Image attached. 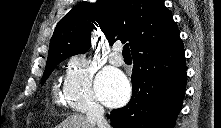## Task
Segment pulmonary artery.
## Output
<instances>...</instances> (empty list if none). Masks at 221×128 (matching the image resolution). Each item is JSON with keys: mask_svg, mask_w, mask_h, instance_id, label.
<instances>
[{"mask_svg": "<svg viewBox=\"0 0 221 128\" xmlns=\"http://www.w3.org/2000/svg\"><path fill=\"white\" fill-rule=\"evenodd\" d=\"M121 45L115 44L109 54V62L114 66H122L124 63L123 57L120 55Z\"/></svg>", "mask_w": 221, "mask_h": 128, "instance_id": "pulmonary-artery-1", "label": "pulmonary artery"}]
</instances>
